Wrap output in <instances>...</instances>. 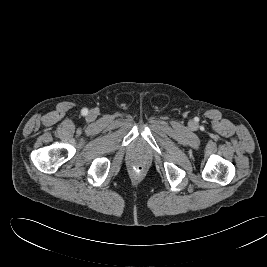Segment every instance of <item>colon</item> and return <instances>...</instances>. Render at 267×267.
<instances>
[{
    "mask_svg": "<svg viewBox=\"0 0 267 267\" xmlns=\"http://www.w3.org/2000/svg\"><path fill=\"white\" fill-rule=\"evenodd\" d=\"M132 169L135 173L138 174V173H141L143 171V166L140 164H135Z\"/></svg>",
    "mask_w": 267,
    "mask_h": 267,
    "instance_id": "1",
    "label": "colon"
}]
</instances>
